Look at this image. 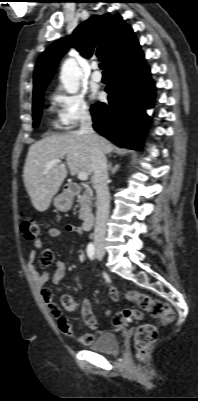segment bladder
<instances>
[{"label": "bladder", "instance_id": "obj_1", "mask_svg": "<svg viewBox=\"0 0 198 401\" xmlns=\"http://www.w3.org/2000/svg\"><path fill=\"white\" fill-rule=\"evenodd\" d=\"M90 349L97 352L115 353L119 349V340L114 333H104L90 345Z\"/></svg>", "mask_w": 198, "mask_h": 401}]
</instances>
